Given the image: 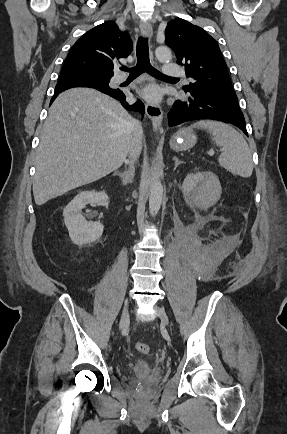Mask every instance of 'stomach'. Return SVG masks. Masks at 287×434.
<instances>
[{
  "mask_svg": "<svg viewBox=\"0 0 287 434\" xmlns=\"http://www.w3.org/2000/svg\"><path fill=\"white\" fill-rule=\"evenodd\" d=\"M197 142L195 133L190 129H181L170 139V147L174 151H185L192 148Z\"/></svg>",
  "mask_w": 287,
  "mask_h": 434,
  "instance_id": "1",
  "label": "stomach"
}]
</instances>
